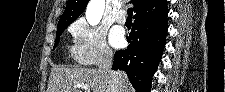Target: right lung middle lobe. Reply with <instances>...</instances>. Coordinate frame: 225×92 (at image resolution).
<instances>
[{"instance_id":"right-lung-middle-lobe-1","label":"right lung middle lobe","mask_w":225,"mask_h":92,"mask_svg":"<svg viewBox=\"0 0 225 92\" xmlns=\"http://www.w3.org/2000/svg\"><path fill=\"white\" fill-rule=\"evenodd\" d=\"M68 23H62V24H58L57 26V32H56V41L54 44V48L58 45L59 39H60V35L63 33L64 29L68 26Z\"/></svg>"}]
</instances>
